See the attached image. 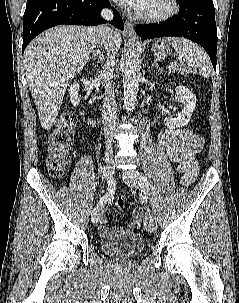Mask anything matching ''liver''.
<instances>
[{
    "label": "liver",
    "instance_id": "liver-1",
    "mask_svg": "<svg viewBox=\"0 0 239 303\" xmlns=\"http://www.w3.org/2000/svg\"><path fill=\"white\" fill-rule=\"evenodd\" d=\"M121 43L120 33L113 31L110 49L116 53ZM97 44L96 27L61 25L41 33L27 46L24 67L43 129L53 126L67 86Z\"/></svg>",
    "mask_w": 239,
    "mask_h": 303
}]
</instances>
